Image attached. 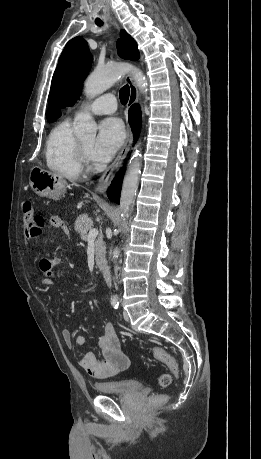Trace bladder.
<instances>
[{"mask_svg": "<svg viewBox=\"0 0 261 459\" xmlns=\"http://www.w3.org/2000/svg\"><path fill=\"white\" fill-rule=\"evenodd\" d=\"M142 384L135 379L112 380L94 384V389L100 394L129 395L140 391Z\"/></svg>", "mask_w": 261, "mask_h": 459, "instance_id": "obj_1", "label": "bladder"}]
</instances>
